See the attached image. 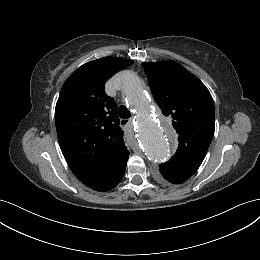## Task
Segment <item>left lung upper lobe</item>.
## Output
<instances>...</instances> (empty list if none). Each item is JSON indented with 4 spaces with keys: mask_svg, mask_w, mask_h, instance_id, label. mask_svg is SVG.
I'll use <instances>...</instances> for the list:
<instances>
[{
    "mask_svg": "<svg viewBox=\"0 0 260 260\" xmlns=\"http://www.w3.org/2000/svg\"><path fill=\"white\" fill-rule=\"evenodd\" d=\"M152 93L178 134L172 159L160 164L165 172L192 176L200 167L214 135L215 110L210 92L173 60L143 63Z\"/></svg>",
    "mask_w": 260,
    "mask_h": 260,
    "instance_id": "5c2ea615",
    "label": "left lung upper lobe"
}]
</instances>
